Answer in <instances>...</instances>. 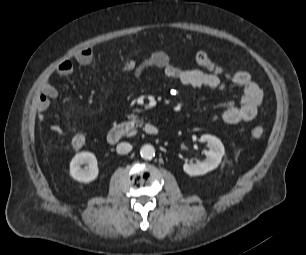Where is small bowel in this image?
<instances>
[{
	"mask_svg": "<svg viewBox=\"0 0 306 255\" xmlns=\"http://www.w3.org/2000/svg\"><path fill=\"white\" fill-rule=\"evenodd\" d=\"M93 59V51L90 48L79 50L74 60L82 65L89 64ZM195 62L199 68H187L171 63L169 55L162 50H155L141 61L128 60L124 63V69L132 72L135 78H141L147 71L159 69L169 80H175L183 86L194 88L206 87L209 89L225 90L226 85L221 77L225 74L224 68L215 62L209 54L200 50L195 55ZM73 69L72 60L62 62L56 74L63 76L71 73ZM227 78L242 89L239 103L229 101L225 109L212 118L213 122L222 121L225 124L235 125L241 122H250L256 115L262 103L263 93L259 85L246 71H235L226 74ZM58 96V89L52 78L46 79L40 86V92L36 100V107L40 119L50 106L51 100ZM51 131L57 135H63L61 126L54 124Z\"/></svg>",
	"mask_w": 306,
	"mask_h": 255,
	"instance_id": "1",
	"label": "small bowel"
}]
</instances>
